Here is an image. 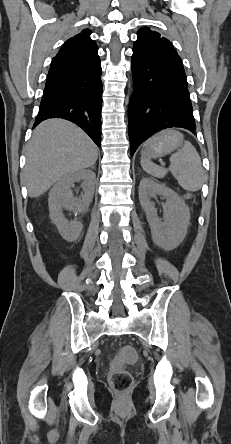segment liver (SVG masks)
Segmentation results:
<instances>
[{
  "instance_id": "obj_1",
  "label": "liver",
  "mask_w": 231,
  "mask_h": 444,
  "mask_svg": "<svg viewBox=\"0 0 231 444\" xmlns=\"http://www.w3.org/2000/svg\"><path fill=\"white\" fill-rule=\"evenodd\" d=\"M97 158V146L78 126L57 118L43 121L26 148L22 180L29 197H39L66 175L93 166Z\"/></svg>"
}]
</instances>
